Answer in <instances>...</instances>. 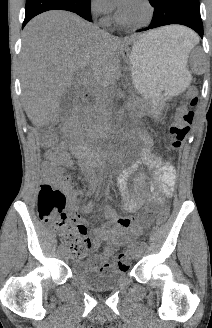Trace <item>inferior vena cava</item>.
<instances>
[{
    "instance_id": "inferior-vena-cava-1",
    "label": "inferior vena cava",
    "mask_w": 212,
    "mask_h": 328,
    "mask_svg": "<svg viewBox=\"0 0 212 328\" xmlns=\"http://www.w3.org/2000/svg\"><path fill=\"white\" fill-rule=\"evenodd\" d=\"M101 12H102V9H96V10H95V14H96V15L100 14Z\"/></svg>"
}]
</instances>
